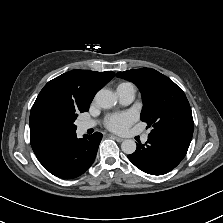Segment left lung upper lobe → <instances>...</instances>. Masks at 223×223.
Returning <instances> with one entry per match:
<instances>
[{
	"label": "left lung upper lobe",
	"mask_w": 223,
	"mask_h": 223,
	"mask_svg": "<svg viewBox=\"0 0 223 223\" xmlns=\"http://www.w3.org/2000/svg\"><path fill=\"white\" fill-rule=\"evenodd\" d=\"M117 77L140 89L144 104L140 119L152 128L149 135L189 147L194 128L191 108L170 78L151 68L118 72Z\"/></svg>",
	"instance_id": "1"
}]
</instances>
